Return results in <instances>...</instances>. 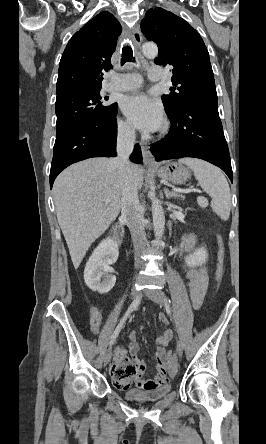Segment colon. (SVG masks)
<instances>
[{"label":"colon","instance_id":"obj_1","mask_svg":"<svg viewBox=\"0 0 266 444\" xmlns=\"http://www.w3.org/2000/svg\"><path fill=\"white\" fill-rule=\"evenodd\" d=\"M225 270V258H224V246L222 237L218 236V255L216 265V287H218L222 281ZM167 363L171 371L176 370L175 355L172 351H169L166 355Z\"/></svg>","mask_w":266,"mask_h":444}]
</instances>
